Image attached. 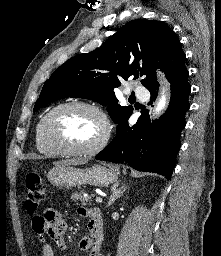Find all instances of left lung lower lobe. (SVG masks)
<instances>
[{"mask_svg": "<svg viewBox=\"0 0 221 256\" xmlns=\"http://www.w3.org/2000/svg\"><path fill=\"white\" fill-rule=\"evenodd\" d=\"M189 73L184 67L168 80L171 83V101L166 112L153 122L147 110L137 123L129 127L128 119L117 125L116 136L96 159L128 163L139 171L154 172L171 178L176 155L180 149V133L185 127L189 110ZM159 84L150 87L151 102L156 99ZM150 102V103H151Z\"/></svg>", "mask_w": 221, "mask_h": 256, "instance_id": "0a47b994", "label": "left lung lower lobe"}]
</instances>
